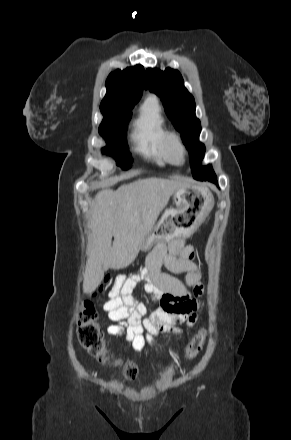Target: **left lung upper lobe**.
Returning a JSON list of instances; mask_svg holds the SVG:
<instances>
[{
    "label": "left lung upper lobe",
    "mask_w": 291,
    "mask_h": 440,
    "mask_svg": "<svg viewBox=\"0 0 291 440\" xmlns=\"http://www.w3.org/2000/svg\"><path fill=\"white\" fill-rule=\"evenodd\" d=\"M145 89H149L161 98L167 116L181 133L183 143L190 152L193 177L203 181L216 176L210 165H200L205 153V146L199 142L201 125L195 116L194 98L184 87L181 74L170 68L165 71L147 69Z\"/></svg>",
    "instance_id": "1"
}]
</instances>
